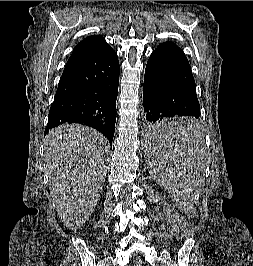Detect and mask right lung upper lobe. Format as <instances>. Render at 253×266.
<instances>
[{
	"label": "right lung upper lobe",
	"instance_id": "1",
	"mask_svg": "<svg viewBox=\"0 0 253 266\" xmlns=\"http://www.w3.org/2000/svg\"><path fill=\"white\" fill-rule=\"evenodd\" d=\"M110 48L111 47L109 46V44H107V42L101 35L86 37L74 48L73 53L66 63L64 70L70 69L80 63L91 60Z\"/></svg>",
	"mask_w": 253,
	"mask_h": 266
}]
</instances>
